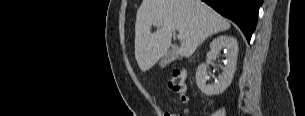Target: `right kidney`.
Masks as SVG:
<instances>
[{"instance_id": "obj_1", "label": "right kidney", "mask_w": 305, "mask_h": 116, "mask_svg": "<svg viewBox=\"0 0 305 116\" xmlns=\"http://www.w3.org/2000/svg\"><path fill=\"white\" fill-rule=\"evenodd\" d=\"M224 50L225 61L222 74L212 84H206L208 65L202 63L196 71V83L198 88L207 96L220 94L229 87L232 82L237 63L238 43L234 37L221 35L215 38L210 44V51L207 53V62L215 59Z\"/></svg>"}]
</instances>
